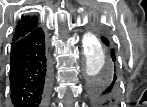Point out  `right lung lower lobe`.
I'll return each mask as SVG.
<instances>
[{"label": "right lung lower lobe", "instance_id": "98d812e1", "mask_svg": "<svg viewBox=\"0 0 147 107\" xmlns=\"http://www.w3.org/2000/svg\"><path fill=\"white\" fill-rule=\"evenodd\" d=\"M49 84L45 36L39 27L11 46L10 88L13 107H45Z\"/></svg>", "mask_w": 147, "mask_h": 107}]
</instances>
